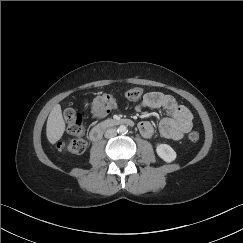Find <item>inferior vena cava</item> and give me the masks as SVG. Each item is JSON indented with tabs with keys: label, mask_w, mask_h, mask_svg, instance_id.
Wrapping results in <instances>:
<instances>
[{
	"label": "inferior vena cava",
	"mask_w": 243,
	"mask_h": 243,
	"mask_svg": "<svg viewBox=\"0 0 243 243\" xmlns=\"http://www.w3.org/2000/svg\"><path fill=\"white\" fill-rule=\"evenodd\" d=\"M117 135V131L114 128H110L105 132V138L110 139Z\"/></svg>",
	"instance_id": "inferior-vena-cava-1"
}]
</instances>
